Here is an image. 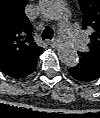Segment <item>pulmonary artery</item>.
I'll use <instances>...</instances> for the list:
<instances>
[{"mask_svg": "<svg viewBox=\"0 0 100 118\" xmlns=\"http://www.w3.org/2000/svg\"><path fill=\"white\" fill-rule=\"evenodd\" d=\"M59 31L63 38L74 48L81 49L84 44L83 34L75 29L69 22H61L59 24Z\"/></svg>", "mask_w": 100, "mask_h": 118, "instance_id": "obj_1", "label": "pulmonary artery"}]
</instances>
